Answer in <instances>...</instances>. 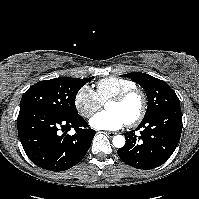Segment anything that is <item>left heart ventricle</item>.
Here are the masks:
<instances>
[{"label": "left heart ventricle", "mask_w": 199, "mask_h": 199, "mask_svg": "<svg viewBox=\"0 0 199 199\" xmlns=\"http://www.w3.org/2000/svg\"><path fill=\"white\" fill-rule=\"evenodd\" d=\"M140 105V97L138 95H133L123 103L109 102L106 108L108 112H117L126 121H129L137 115L140 110Z\"/></svg>", "instance_id": "b2bd125f"}]
</instances>
